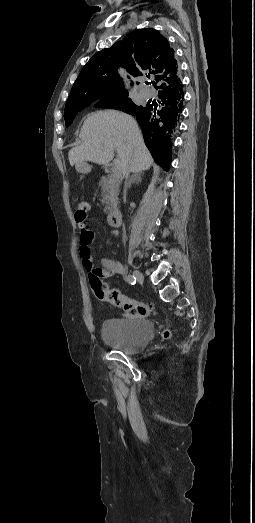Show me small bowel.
Listing matches in <instances>:
<instances>
[{
    "label": "small bowel",
    "instance_id": "small-bowel-1",
    "mask_svg": "<svg viewBox=\"0 0 255 523\" xmlns=\"http://www.w3.org/2000/svg\"><path fill=\"white\" fill-rule=\"evenodd\" d=\"M80 226V247L78 250L79 257L83 267L89 272H95L100 278H112L116 274L124 272V266L121 262L104 257L101 259V268L94 269L92 265L89 245L94 240V232L88 228L87 224Z\"/></svg>",
    "mask_w": 255,
    "mask_h": 523
}]
</instances>
